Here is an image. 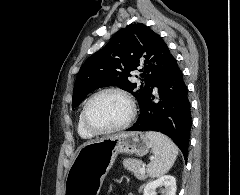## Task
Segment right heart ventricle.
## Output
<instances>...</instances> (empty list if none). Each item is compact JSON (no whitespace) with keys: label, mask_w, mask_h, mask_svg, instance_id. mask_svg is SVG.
<instances>
[{"label":"right heart ventricle","mask_w":240,"mask_h":195,"mask_svg":"<svg viewBox=\"0 0 240 195\" xmlns=\"http://www.w3.org/2000/svg\"><path fill=\"white\" fill-rule=\"evenodd\" d=\"M78 131H79V134L85 139H90L92 137V134L83 125L82 112L80 113V116H79Z\"/></svg>","instance_id":"e07e8e85"}]
</instances>
